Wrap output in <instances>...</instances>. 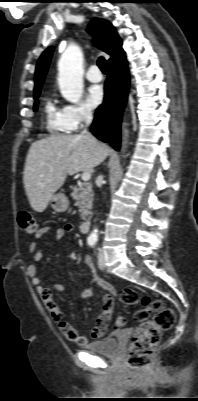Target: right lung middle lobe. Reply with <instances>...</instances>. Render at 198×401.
Listing matches in <instances>:
<instances>
[{"instance_id":"obj_1","label":"right lung middle lobe","mask_w":198,"mask_h":401,"mask_svg":"<svg viewBox=\"0 0 198 401\" xmlns=\"http://www.w3.org/2000/svg\"><path fill=\"white\" fill-rule=\"evenodd\" d=\"M38 97H39V93L34 95V99L36 100L34 103V111H36L37 107H38V101H37Z\"/></svg>"}]
</instances>
